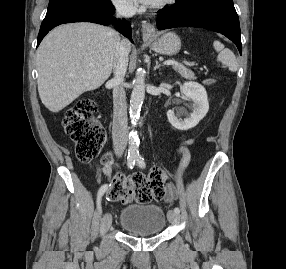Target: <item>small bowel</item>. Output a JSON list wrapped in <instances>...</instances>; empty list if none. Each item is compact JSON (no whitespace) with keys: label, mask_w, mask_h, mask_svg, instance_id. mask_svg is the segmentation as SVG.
<instances>
[{"label":"small bowel","mask_w":286,"mask_h":269,"mask_svg":"<svg viewBox=\"0 0 286 269\" xmlns=\"http://www.w3.org/2000/svg\"><path fill=\"white\" fill-rule=\"evenodd\" d=\"M192 139H185L179 143L176 150V154L181 156L180 163L177 168V178L181 179L183 172L188 167L191 161V152L189 146L192 144ZM112 166L111 164H104L102 168V173L107 176L108 179L112 178ZM96 176L100 178V173L95 172ZM164 181L167 179V173L163 171ZM164 200L168 203H172L177 198V188L173 183H168L164 193Z\"/></svg>","instance_id":"c3829d8e"}]
</instances>
